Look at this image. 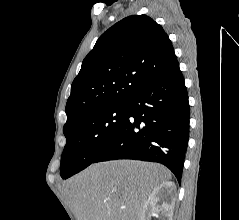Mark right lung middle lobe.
Returning <instances> with one entry per match:
<instances>
[{"label": "right lung middle lobe", "mask_w": 239, "mask_h": 220, "mask_svg": "<svg viewBox=\"0 0 239 220\" xmlns=\"http://www.w3.org/2000/svg\"><path fill=\"white\" fill-rule=\"evenodd\" d=\"M126 116V103H121L92 111L64 128L67 142L61 157V177L67 179L93 163Z\"/></svg>", "instance_id": "obj_1"}]
</instances>
